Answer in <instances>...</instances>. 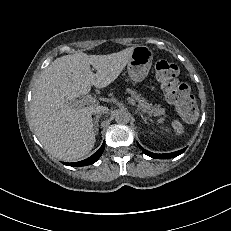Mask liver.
<instances>
[{
    "mask_svg": "<svg viewBox=\"0 0 231 231\" xmlns=\"http://www.w3.org/2000/svg\"><path fill=\"white\" fill-rule=\"evenodd\" d=\"M134 48L107 55H65L42 71L32 96L31 126L49 154L74 161L93 149L92 114L99 105L77 107L74 100L88 94L91 86L110 85L129 62Z\"/></svg>",
    "mask_w": 231,
    "mask_h": 231,
    "instance_id": "obj_1",
    "label": "liver"
}]
</instances>
